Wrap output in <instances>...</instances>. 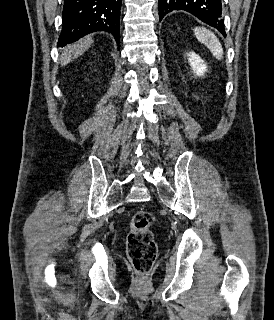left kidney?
Returning <instances> with one entry per match:
<instances>
[{
  "label": "left kidney",
  "instance_id": "1",
  "mask_svg": "<svg viewBox=\"0 0 274 320\" xmlns=\"http://www.w3.org/2000/svg\"><path fill=\"white\" fill-rule=\"evenodd\" d=\"M188 56L189 66H191L193 74H195V76H204L205 72H207V66L204 60H202L198 54H195V52H189Z\"/></svg>",
  "mask_w": 274,
  "mask_h": 320
}]
</instances>
